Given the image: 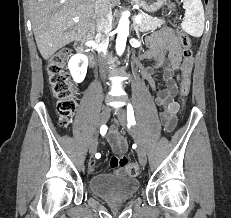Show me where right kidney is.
Listing matches in <instances>:
<instances>
[{"mask_svg":"<svg viewBox=\"0 0 231 218\" xmlns=\"http://www.w3.org/2000/svg\"><path fill=\"white\" fill-rule=\"evenodd\" d=\"M71 75L76 83H81L87 73L88 58L83 54H76L68 63Z\"/></svg>","mask_w":231,"mask_h":218,"instance_id":"1","label":"right kidney"}]
</instances>
